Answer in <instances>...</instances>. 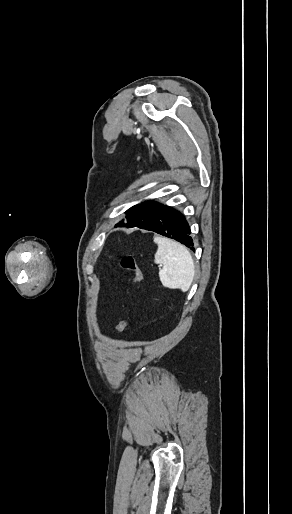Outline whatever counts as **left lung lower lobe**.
Here are the masks:
<instances>
[{"label": "left lung lower lobe", "mask_w": 292, "mask_h": 514, "mask_svg": "<svg viewBox=\"0 0 292 514\" xmlns=\"http://www.w3.org/2000/svg\"><path fill=\"white\" fill-rule=\"evenodd\" d=\"M145 230L154 231L175 239L191 250H195L193 239L190 236V227L185 217L179 211L169 206H165L164 211Z\"/></svg>", "instance_id": "0a47b994"}]
</instances>
